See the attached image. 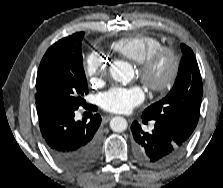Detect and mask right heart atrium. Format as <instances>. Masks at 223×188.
I'll use <instances>...</instances> for the list:
<instances>
[{
    "label": "right heart atrium",
    "mask_w": 223,
    "mask_h": 188,
    "mask_svg": "<svg viewBox=\"0 0 223 188\" xmlns=\"http://www.w3.org/2000/svg\"><path fill=\"white\" fill-rule=\"evenodd\" d=\"M107 60L98 53H90L85 59V74L93 83L98 82L107 71Z\"/></svg>",
    "instance_id": "d8ad5b80"
}]
</instances>
